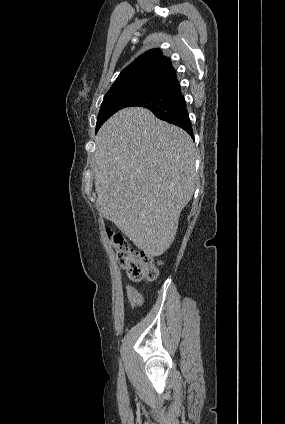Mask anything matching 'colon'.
I'll list each match as a JSON object with an SVG mask.
<instances>
[{"instance_id": "colon-1", "label": "colon", "mask_w": 285, "mask_h": 424, "mask_svg": "<svg viewBox=\"0 0 285 424\" xmlns=\"http://www.w3.org/2000/svg\"><path fill=\"white\" fill-rule=\"evenodd\" d=\"M108 238L123 267L132 281H154L158 276L159 262L150 254L133 249L124 236L113 230H107Z\"/></svg>"}]
</instances>
